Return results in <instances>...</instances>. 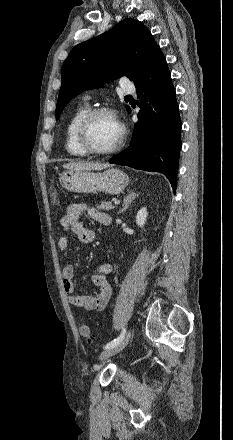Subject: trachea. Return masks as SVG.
Segmentation results:
<instances>
[{"instance_id":"3493384b","label":"trachea","mask_w":233,"mask_h":440,"mask_svg":"<svg viewBox=\"0 0 233 440\" xmlns=\"http://www.w3.org/2000/svg\"><path fill=\"white\" fill-rule=\"evenodd\" d=\"M125 97H132L131 95H127V96H125Z\"/></svg>"}]
</instances>
